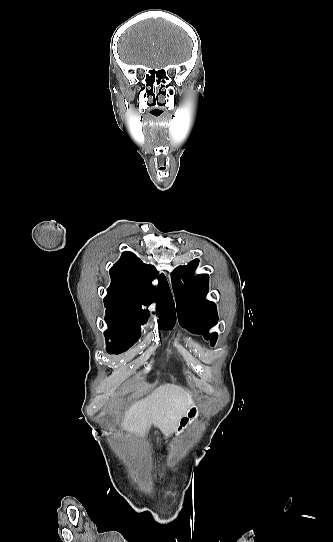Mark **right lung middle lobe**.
<instances>
[{"mask_svg":"<svg viewBox=\"0 0 333 542\" xmlns=\"http://www.w3.org/2000/svg\"><path fill=\"white\" fill-rule=\"evenodd\" d=\"M108 330L104 333L106 338L107 352L120 354L128 350L140 337V326L145 323L142 320L121 316L106 315ZM173 326H163L164 330ZM110 340V341H109Z\"/></svg>","mask_w":333,"mask_h":542,"instance_id":"right-lung-middle-lobe-1","label":"right lung middle lobe"}]
</instances>
